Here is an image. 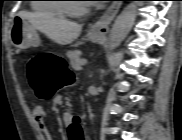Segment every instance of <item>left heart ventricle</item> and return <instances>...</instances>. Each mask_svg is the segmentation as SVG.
Masks as SVG:
<instances>
[{"instance_id":"b2bd125f","label":"left heart ventricle","mask_w":182,"mask_h":140,"mask_svg":"<svg viewBox=\"0 0 182 140\" xmlns=\"http://www.w3.org/2000/svg\"><path fill=\"white\" fill-rule=\"evenodd\" d=\"M82 5H83L82 2H74V1L71 2V6H73L74 8H79Z\"/></svg>"}]
</instances>
